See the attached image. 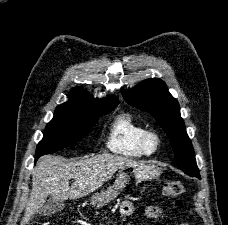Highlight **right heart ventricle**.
<instances>
[{"instance_id": "right-heart-ventricle-1", "label": "right heart ventricle", "mask_w": 228, "mask_h": 225, "mask_svg": "<svg viewBox=\"0 0 228 225\" xmlns=\"http://www.w3.org/2000/svg\"><path fill=\"white\" fill-rule=\"evenodd\" d=\"M148 128L138 123L129 113L120 114L110 126L106 147L114 154L130 158L150 155L144 147Z\"/></svg>"}]
</instances>
